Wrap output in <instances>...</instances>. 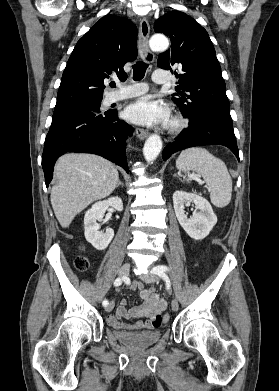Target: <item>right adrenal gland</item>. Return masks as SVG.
<instances>
[{
    "mask_svg": "<svg viewBox=\"0 0 279 391\" xmlns=\"http://www.w3.org/2000/svg\"><path fill=\"white\" fill-rule=\"evenodd\" d=\"M120 185H121V186H124V184L119 180V181H118V184H117V187H119Z\"/></svg>",
    "mask_w": 279,
    "mask_h": 391,
    "instance_id": "2a0ac1e0",
    "label": "right adrenal gland"
}]
</instances>
